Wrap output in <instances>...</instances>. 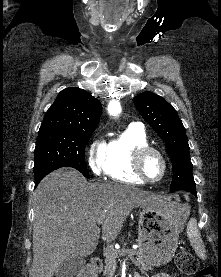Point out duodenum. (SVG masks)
Returning a JSON list of instances; mask_svg holds the SVG:
<instances>
[{
    "label": "duodenum",
    "mask_w": 221,
    "mask_h": 277,
    "mask_svg": "<svg viewBox=\"0 0 221 277\" xmlns=\"http://www.w3.org/2000/svg\"><path fill=\"white\" fill-rule=\"evenodd\" d=\"M102 267L103 262L101 258L94 257L90 265L80 273L79 277H96L102 270Z\"/></svg>",
    "instance_id": "1"
}]
</instances>
